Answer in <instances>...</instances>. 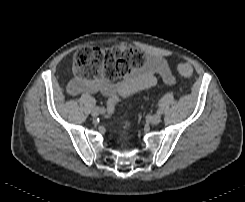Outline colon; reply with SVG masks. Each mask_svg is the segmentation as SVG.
Here are the masks:
<instances>
[{"label":"colon","instance_id":"5ec220e1","mask_svg":"<svg viewBox=\"0 0 245 202\" xmlns=\"http://www.w3.org/2000/svg\"><path fill=\"white\" fill-rule=\"evenodd\" d=\"M145 56L127 43L108 48L86 46L78 49L70 61L71 72L82 79L93 80L105 77L110 80L124 78L132 69L141 68ZM180 75L188 77L193 70L190 64L177 66Z\"/></svg>","mask_w":245,"mask_h":202}]
</instances>
